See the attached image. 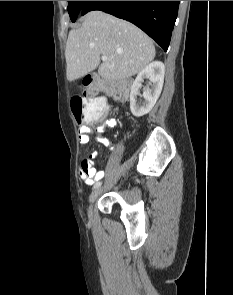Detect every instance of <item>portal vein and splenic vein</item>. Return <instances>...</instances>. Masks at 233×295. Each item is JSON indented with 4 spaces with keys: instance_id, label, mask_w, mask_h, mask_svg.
I'll use <instances>...</instances> for the list:
<instances>
[{
    "instance_id": "1",
    "label": "portal vein and splenic vein",
    "mask_w": 233,
    "mask_h": 295,
    "mask_svg": "<svg viewBox=\"0 0 233 295\" xmlns=\"http://www.w3.org/2000/svg\"><path fill=\"white\" fill-rule=\"evenodd\" d=\"M101 59H102V61H106L108 58H107V56L103 55V56L101 57Z\"/></svg>"
}]
</instances>
